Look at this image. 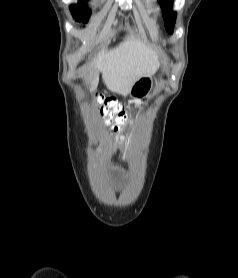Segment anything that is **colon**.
<instances>
[{"label":"colon","instance_id":"1","mask_svg":"<svg viewBox=\"0 0 238 278\" xmlns=\"http://www.w3.org/2000/svg\"><path fill=\"white\" fill-rule=\"evenodd\" d=\"M98 111L103 116V121L113 131L120 130L124 125L125 112L114 98L99 95L97 97ZM118 136H125V131H118ZM114 141V138H110ZM110 141H101V146H110ZM130 141V138H127ZM106 153L109 151L107 148L104 150Z\"/></svg>","mask_w":238,"mask_h":278}]
</instances>
